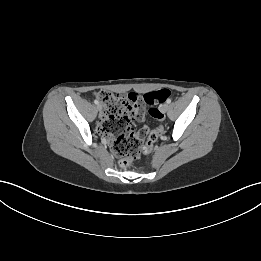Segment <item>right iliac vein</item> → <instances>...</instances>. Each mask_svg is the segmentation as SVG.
Here are the masks:
<instances>
[{"mask_svg":"<svg viewBox=\"0 0 261 261\" xmlns=\"http://www.w3.org/2000/svg\"><path fill=\"white\" fill-rule=\"evenodd\" d=\"M97 109H98V111H102V105H101V104H98V105H97Z\"/></svg>","mask_w":261,"mask_h":261,"instance_id":"63e3f726","label":"right iliac vein"}]
</instances>
